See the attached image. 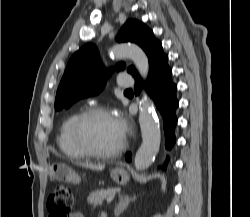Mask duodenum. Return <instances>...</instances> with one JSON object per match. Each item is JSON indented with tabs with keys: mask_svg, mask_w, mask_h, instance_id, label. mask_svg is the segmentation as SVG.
<instances>
[{
	"mask_svg": "<svg viewBox=\"0 0 250 217\" xmlns=\"http://www.w3.org/2000/svg\"><path fill=\"white\" fill-rule=\"evenodd\" d=\"M99 217H108L105 212L101 213Z\"/></svg>",
	"mask_w": 250,
	"mask_h": 217,
	"instance_id": "duodenum-1",
	"label": "duodenum"
}]
</instances>
